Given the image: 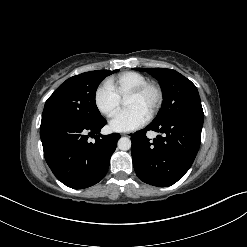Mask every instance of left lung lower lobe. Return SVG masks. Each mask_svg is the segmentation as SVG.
Masks as SVG:
<instances>
[{"instance_id":"1","label":"left lung lower lobe","mask_w":247,"mask_h":247,"mask_svg":"<svg viewBox=\"0 0 247 247\" xmlns=\"http://www.w3.org/2000/svg\"><path fill=\"white\" fill-rule=\"evenodd\" d=\"M203 118L176 116L162 123H150L132 135L134 170L143 182L167 187L180 180L191 167L200 147ZM164 133L150 141L146 132Z\"/></svg>"}]
</instances>
